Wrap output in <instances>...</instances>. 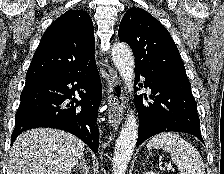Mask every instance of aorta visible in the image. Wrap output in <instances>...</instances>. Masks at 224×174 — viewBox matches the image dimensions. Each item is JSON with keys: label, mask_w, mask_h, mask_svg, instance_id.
Masks as SVG:
<instances>
[{"label": "aorta", "mask_w": 224, "mask_h": 174, "mask_svg": "<svg viewBox=\"0 0 224 174\" xmlns=\"http://www.w3.org/2000/svg\"><path fill=\"white\" fill-rule=\"evenodd\" d=\"M111 56L122 77L125 87L131 92L134 87V57L125 43H115ZM138 138V124L131 110L116 141L113 157V174H125Z\"/></svg>", "instance_id": "obj_1"}]
</instances>
